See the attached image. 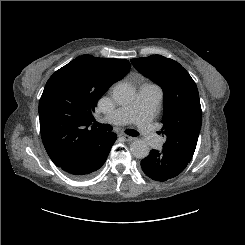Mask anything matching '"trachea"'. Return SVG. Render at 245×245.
I'll return each mask as SVG.
<instances>
[{"mask_svg":"<svg viewBox=\"0 0 245 245\" xmlns=\"http://www.w3.org/2000/svg\"><path fill=\"white\" fill-rule=\"evenodd\" d=\"M94 124L96 126H98L100 129L105 130V131H111L113 129L112 126H110L108 124H100L96 121L94 122ZM125 133L130 135V136H138L139 135V133L135 130H125Z\"/></svg>","mask_w":245,"mask_h":245,"instance_id":"1","label":"trachea"}]
</instances>
